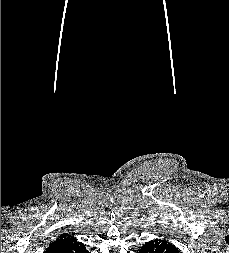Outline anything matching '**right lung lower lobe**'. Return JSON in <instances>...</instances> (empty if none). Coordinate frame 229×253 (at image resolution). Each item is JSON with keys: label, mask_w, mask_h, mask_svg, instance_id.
Segmentation results:
<instances>
[{"label": "right lung lower lobe", "mask_w": 229, "mask_h": 253, "mask_svg": "<svg viewBox=\"0 0 229 253\" xmlns=\"http://www.w3.org/2000/svg\"><path fill=\"white\" fill-rule=\"evenodd\" d=\"M45 253H89L83 243L74 240L71 243L48 249Z\"/></svg>", "instance_id": "98d812e1"}]
</instances>
